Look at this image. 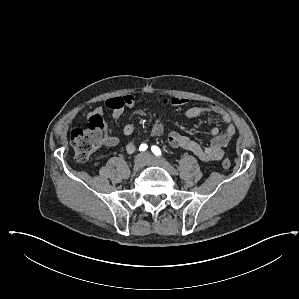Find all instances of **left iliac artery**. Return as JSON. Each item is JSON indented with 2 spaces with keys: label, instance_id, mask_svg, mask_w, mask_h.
<instances>
[{
  "label": "left iliac artery",
  "instance_id": "44dca946",
  "mask_svg": "<svg viewBox=\"0 0 299 299\" xmlns=\"http://www.w3.org/2000/svg\"><path fill=\"white\" fill-rule=\"evenodd\" d=\"M151 150L156 156H161V150L159 149V147L154 145L151 147Z\"/></svg>",
  "mask_w": 299,
  "mask_h": 299
}]
</instances>
